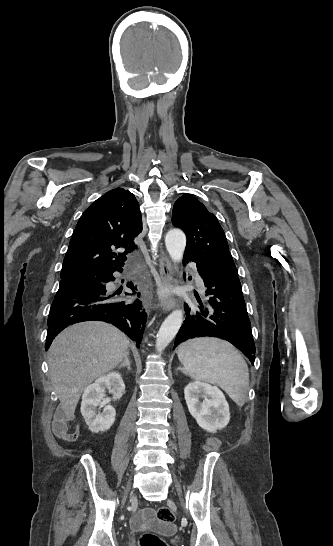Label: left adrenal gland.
<instances>
[{
	"instance_id": "1",
	"label": "left adrenal gland",
	"mask_w": 333,
	"mask_h": 546,
	"mask_svg": "<svg viewBox=\"0 0 333 546\" xmlns=\"http://www.w3.org/2000/svg\"><path fill=\"white\" fill-rule=\"evenodd\" d=\"M178 370H181L183 373H185V371L181 367H179Z\"/></svg>"
}]
</instances>
